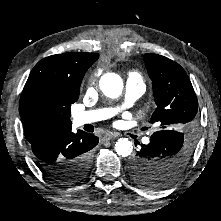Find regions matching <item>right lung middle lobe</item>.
<instances>
[{
  "label": "right lung middle lobe",
  "mask_w": 221,
  "mask_h": 221,
  "mask_svg": "<svg viewBox=\"0 0 221 221\" xmlns=\"http://www.w3.org/2000/svg\"><path fill=\"white\" fill-rule=\"evenodd\" d=\"M67 107H68V109H70L71 104L67 103ZM37 109L40 113L47 114V113H50L52 111H55L56 106L53 103H51L50 101H48L44 98H40L37 101ZM77 162H80V161H77ZM78 168H82L81 163H78Z\"/></svg>",
  "instance_id": "obj_1"
}]
</instances>
